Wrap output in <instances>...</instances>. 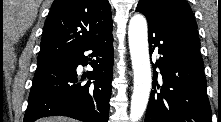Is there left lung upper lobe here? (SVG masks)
Returning <instances> with one entry per match:
<instances>
[{
    "label": "left lung upper lobe",
    "mask_w": 221,
    "mask_h": 122,
    "mask_svg": "<svg viewBox=\"0 0 221 122\" xmlns=\"http://www.w3.org/2000/svg\"><path fill=\"white\" fill-rule=\"evenodd\" d=\"M138 5L150 6L164 21L197 29L192 10L185 0H140Z\"/></svg>",
    "instance_id": "1"
}]
</instances>
